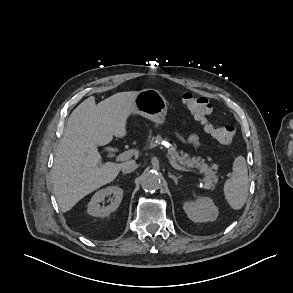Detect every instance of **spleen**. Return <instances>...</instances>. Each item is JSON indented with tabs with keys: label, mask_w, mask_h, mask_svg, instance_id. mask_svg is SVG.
<instances>
[{
	"label": "spleen",
	"mask_w": 293,
	"mask_h": 293,
	"mask_svg": "<svg viewBox=\"0 0 293 293\" xmlns=\"http://www.w3.org/2000/svg\"><path fill=\"white\" fill-rule=\"evenodd\" d=\"M232 169V176L224 185V195L231 208L239 210L246 203L248 196L249 181L245 158L236 157Z\"/></svg>",
	"instance_id": "1"
}]
</instances>
